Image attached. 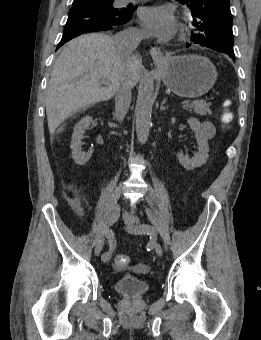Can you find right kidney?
I'll use <instances>...</instances> for the list:
<instances>
[{
	"instance_id": "right-kidney-1",
	"label": "right kidney",
	"mask_w": 261,
	"mask_h": 340,
	"mask_svg": "<svg viewBox=\"0 0 261 340\" xmlns=\"http://www.w3.org/2000/svg\"><path fill=\"white\" fill-rule=\"evenodd\" d=\"M92 122V117L86 116L82 118L77 125L74 128V133L72 135L71 140V150H72V158L78 165H85L89 159L91 158V155L93 153L92 150H89L88 152L82 151V139L83 135L85 133V130L89 128L90 124Z\"/></svg>"
}]
</instances>
